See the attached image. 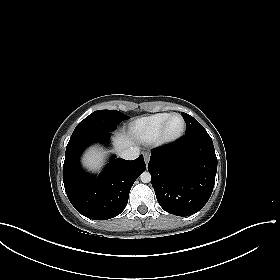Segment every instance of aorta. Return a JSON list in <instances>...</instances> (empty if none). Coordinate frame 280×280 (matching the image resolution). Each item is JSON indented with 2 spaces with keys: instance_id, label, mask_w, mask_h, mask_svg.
Masks as SVG:
<instances>
[{
  "instance_id": "obj_1",
  "label": "aorta",
  "mask_w": 280,
  "mask_h": 280,
  "mask_svg": "<svg viewBox=\"0 0 280 280\" xmlns=\"http://www.w3.org/2000/svg\"><path fill=\"white\" fill-rule=\"evenodd\" d=\"M140 179L143 183H149L151 181V174L145 171L141 174Z\"/></svg>"
}]
</instances>
